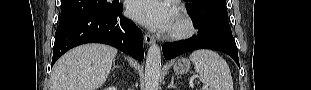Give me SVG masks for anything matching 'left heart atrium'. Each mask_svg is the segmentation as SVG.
<instances>
[{
  "label": "left heart atrium",
  "mask_w": 311,
  "mask_h": 90,
  "mask_svg": "<svg viewBox=\"0 0 311 90\" xmlns=\"http://www.w3.org/2000/svg\"><path fill=\"white\" fill-rule=\"evenodd\" d=\"M128 11L132 19L151 30L167 31L175 18L171 6L162 0H133Z\"/></svg>",
  "instance_id": "1"
}]
</instances>
